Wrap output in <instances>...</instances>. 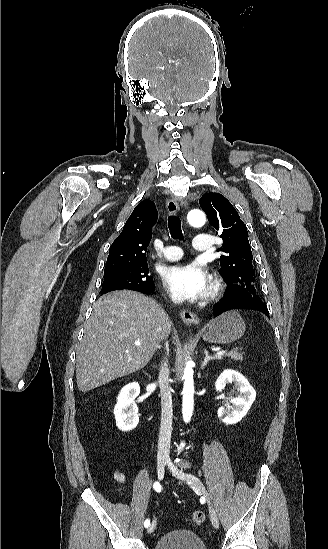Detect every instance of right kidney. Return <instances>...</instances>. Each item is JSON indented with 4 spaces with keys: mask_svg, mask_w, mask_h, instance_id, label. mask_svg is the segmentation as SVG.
I'll use <instances>...</instances> for the list:
<instances>
[{
    "mask_svg": "<svg viewBox=\"0 0 328 549\" xmlns=\"http://www.w3.org/2000/svg\"><path fill=\"white\" fill-rule=\"evenodd\" d=\"M140 393L138 383H129L125 385L117 397V405H115L114 415L116 425L120 431H132L139 423L138 407L135 403L136 397Z\"/></svg>",
    "mask_w": 328,
    "mask_h": 549,
    "instance_id": "1",
    "label": "right kidney"
}]
</instances>
